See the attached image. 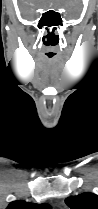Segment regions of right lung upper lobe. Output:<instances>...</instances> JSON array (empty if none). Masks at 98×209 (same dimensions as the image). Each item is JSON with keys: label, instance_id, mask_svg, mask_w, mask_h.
<instances>
[{"label": "right lung upper lobe", "instance_id": "1", "mask_svg": "<svg viewBox=\"0 0 98 209\" xmlns=\"http://www.w3.org/2000/svg\"><path fill=\"white\" fill-rule=\"evenodd\" d=\"M6 209H52L49 204H34L25 201H13Z\"/></svg>", "mask_w": 98, "mask_h": 209}]
</instances>
